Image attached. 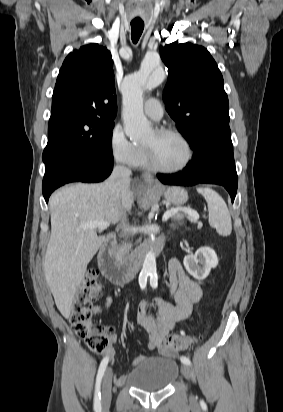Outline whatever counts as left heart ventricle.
Wrapping results in <instances>:
<instances>
[{
	"label": "left heart ventricle",
	"mask_w": 283,
	"mask_h": 412,
	"mask_svg": "<svg viewBox=\"0 0 283 412\" xmlns=\"http://www.w3.org/2000/svg\"><path fill=\"white\" fill-rule=\"evenodd\" d=\"M144 144L150 146L154 160L162 167H178L186 158V148L175 136L158 135L153 131Z\"/></svg>",
	"instance_id": "obj_1"
}]
</instances>
